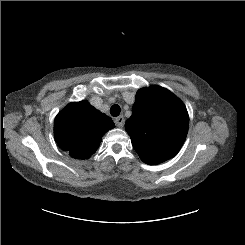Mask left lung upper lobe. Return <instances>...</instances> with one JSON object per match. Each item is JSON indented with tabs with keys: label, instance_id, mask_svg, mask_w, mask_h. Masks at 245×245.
<instances>
[{
	"label": "left lung upper lobe",
	"instance_id": "left-lung-upper-lobe-1",
	"mask_svg": "<svg viewBox=\"0 0 245 245\" xmlns=\"http://www.w3.org/2000/svg\"><path fill=\"white\" fill-rule=\"evenodd\" d=\"M188 126L183 102L159 86L138 90L132 116L125 123L134 149L149 165L174 157L186 139Z\"/></svg>",
	"mask_w": 245,
	"mask_h": 245
}]
</instances>
